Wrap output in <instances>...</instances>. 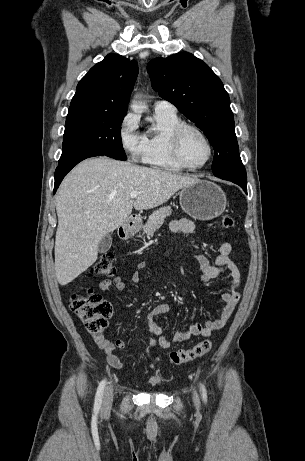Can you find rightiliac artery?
<instances>
[{
  "label": "right iliac artery",
  "instance_id": "82829eb1",
  "mask_svg": "<svg viewBox=\"0 0 305 461\" xmlns=\"http://www.w3.org/2000/svg\"><path fill=\"white\" fill-rule=\"evenodd\" d=\"M105 385H106V380L104 379L100 382L97 388L95 402H94V413H98L100 410Z\"/></svg>",
  "mask_w": 305,
  "mask_h": 461
}]
</instances>
